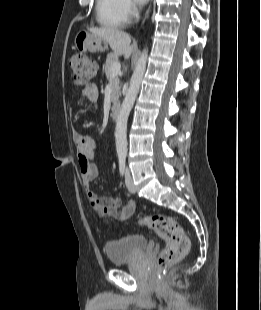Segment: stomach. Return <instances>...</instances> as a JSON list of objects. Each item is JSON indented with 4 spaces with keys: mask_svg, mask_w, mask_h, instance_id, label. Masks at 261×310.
<instances>
[{
    "mask_svg": "<svg viewBox=\"0 0 261 310\" xmlns=\"http://www.w3.org/2000/svg\"><path fill=\"white\" fill-rule=\"evenodd\" d=\"M75 45L90 52H103L108 48L106 41L88 32H80L75 38Z\"/></svg>",
    "mask_w": 261,
    "mask_h": 310,
    "instance_id": "obj_1",
    "label": "stomach"
}]
</instances>
